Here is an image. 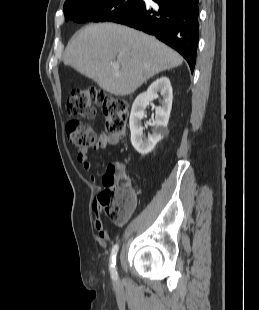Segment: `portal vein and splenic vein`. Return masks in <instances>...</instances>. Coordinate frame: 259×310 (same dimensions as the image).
<instances>
[{
    "instance_id": "1",
    "label": "portal vein and splenic vein",
    "mask_w": 259,
    "mask_h": 310,
    "mask_svg": "<svg viewBox=\"0 0 259 310\" xmlns=\"http://www.w3.org/2000/svg\"><path fill=\"white\" fill-rule=\"evenodd\" d=\"M112 66L114 69H119V64L116 62L112 63Z\"/></svg>"
}]
</instances>
